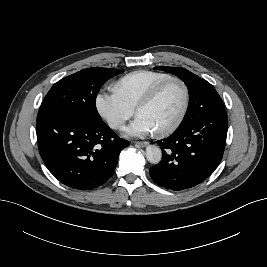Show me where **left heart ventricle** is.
Returning <instances> with one entry per match:
<instances>
[{"label": "left heart ventricle", "instance_id": "b2bd125f", "mask_svg": "<svg viewBox=\"0 0 267 267\" xmlns=\"http://www.w3.org/2000/svg\"><path fill=\"white\" fill-rule=\"evenodd\" d=\"M184 92L177 82L168 83L157 98L148 106L141 108L138 115L147 117L155 130L165 128L172 124L180 114L183 106Z\"/></svg>", "mask_w": 267, "mask_h": 267}]
</instances>
